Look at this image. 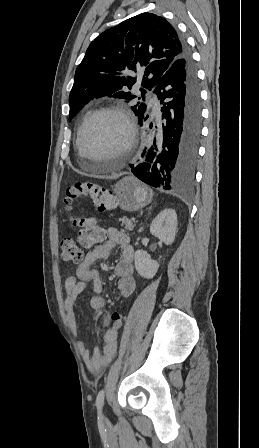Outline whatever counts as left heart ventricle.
Returning a JSON list of instances; mask_svg holds the SVG:
<instances>
[{"label":"left heart ventricle","mask_w":259,"mask_h":448,"mask_svg":"<svg viewBox=\"0 0 259 448\" xmlns=\"http://www.w3.org/2000/svg\"><path fill=\"white\" fill-rule=\"evenodd\" d=\"M127 136L124 120L116 114H107L93 121L87 128L81 154V161L106 162L116 156L115 148Z\"/></svg>","instance_id":"obj_1"}]
</instances>
